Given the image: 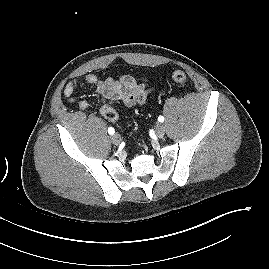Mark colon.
<instances>
[{
  "instance_id": "colon-1",
  "label": "colon",
  "mask_w": 269,
  "mask_h": 269,
  "mask_svg": "<svg viewBox=\"0 0 269 269\" xmlns=\"http://www.w3.org/2000/svg\"><path fill=\"white\" fill-rule=\"evenodd\" d=\"M172 78L181 87H184L186 85L187 77L184 72L180 70L174 71L172 74ZM106 116L109 120H112V121L117 119V114L112 108L106 109Z\"/></svg>"
}]
</instances>
